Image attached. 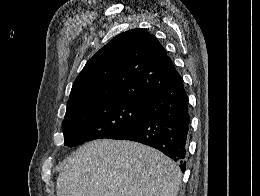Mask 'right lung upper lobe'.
<instances>
[{
	"label": "right lung upper lobe",
	"mask_w": 260,
	"mask_h": 196,
	"mask_svg": "<svg viewBox=\"0 0 260 196\" xmlns=\"http://www.w3.org/2000/svg\"><path fill=\"white\" fill-rule=\"evenodd\" d=\"M180 78L156 37L132 29L114 37L86 63L74 81L67 106L106 96L141 101Z\"/></svg>",
	"instance_id": "obj_1"
}]
</instances>
